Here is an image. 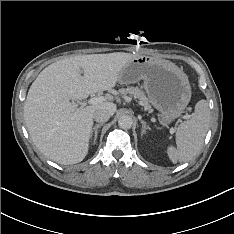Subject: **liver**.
<instances>
[{"instance_id": "liver-1", "label": "liver", "mask_w": 234, "mask_h": 234, "mask_svg": "<svg viewBox=\"0 0 234 234\" xmlns=\"http://www.w3.org/2000/svg\"><path fill=\"white\" fill-rule=\"evenodd\" d=\"M135 57L124 52L73 56L41 71L28 91L24 119L33 143L45 157L65 165L86 157L94 112L106 109L113 115L117 106L110 100L78 108L70 100L111 90L121 69Z\"/></svg>"}]
</instances>
